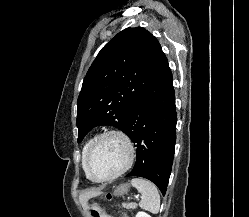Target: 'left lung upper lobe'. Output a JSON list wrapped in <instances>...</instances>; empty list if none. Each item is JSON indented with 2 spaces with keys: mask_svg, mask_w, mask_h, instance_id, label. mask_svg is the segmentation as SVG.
<instances>
[{
  "mask_svg": "<svg viewBox=\"0 0 249 217\" xmlns=\"http://www.w3.org/2000/svg\"><path fill=\"white\" fill-rule=\"evenodd\" d=\"M168 60L158 40L142 27L119 32L98 53L78 97V142L98 125L123 132L135 103Z\"/></svg>",
  "mask_w": 249,
  "mask_h": 217,
  "instance_id": "5c2ea615",
  "label": "left lung upper lobe"
}]
</instances>
